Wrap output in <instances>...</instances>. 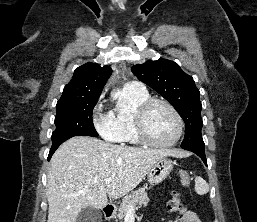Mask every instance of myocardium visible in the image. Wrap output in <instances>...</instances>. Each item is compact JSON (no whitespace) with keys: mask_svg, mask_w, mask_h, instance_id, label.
Segmentation results:
<instances>
[{"mask_svg":"<svg viewBox=\"0 0 257 222\" xmlns=\"http://www.w3.org/2000/svg\"><path fill=\"white\" fill-rule=\"evenodd\" d=\"M156 105H163L167 107L174 115L177 122L176 136L168 142L154 141L147 131V117L151 109ZM135 127L139 140L150 147L168 148L176 145L181 139L184 131V121L179 111L169 101L160 98H149L143 102L138 108L135 116Z\"/></svg>","mask_w":257,"mask_h":222,"instance_id":"obj_1","label":"myocardium"}]
</instances>
